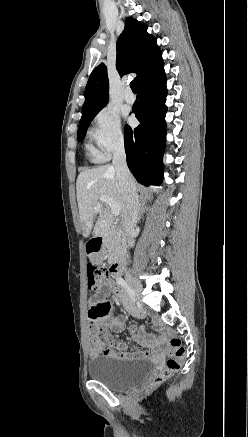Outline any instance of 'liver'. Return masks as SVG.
I'll use <instances>...</instances> for the list:
<instances>
[{
    "label": "liver",
    "mask_w": 248,
    "mask_h": 437,
    "mask_svg": "<svg viewBox=\"0 0 248 437\" xmlns=\"http://www.w3.org/2000/svg\"><path fill=\"white\" fill-rule=\"evenodd\" d=\"M77 202L82 222L83 234L88 238L106 234L113 224V214L109 208L100 203L101 196H108L120 206L124 217L126 212L125 196L112 165H104L80 172L76 182ZM101 204L99 217L94 225L95 207ZM93 229V231H92Z\"/></svg>",
    "instance_id": "liver-1"
}]
</instances>
